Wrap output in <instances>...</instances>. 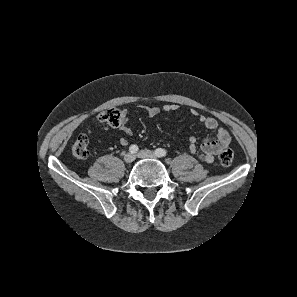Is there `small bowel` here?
<instances>
[{
    "label": "small bowel",
    "mask_w": 297,
    "mask_h": 297,
    "mask_svg": "<svg viewBox=\"0 0 297 297\" xmlns=\"http://www.w3.org/2000/svg\"><path fill=\"white\" fill-rule=\"evenodd\" d=\"M176 109L177 106L175 104H167L163 107L165 112H173ZM160 112L161 109L159 107H150L147 109L149 117H155ZM123 113L125 115V111H123ZM190 113L203 123L207 129L215 131V134L202 143L200 151H198L196 147L195 139L191 137L187 149L191 154L198 156L203 162L212 163L215 156L230 143V135L226 130L219 128L218 121L214 117L201 114L195 109L191 110ZM120 130L127 136H131L133 133L132 127L126 122L120 126ZM119 143L122 146H126L128 144V139L122 137L120 138Z\"/></svg>",
    "instance_id": "obj_1"
}]
</instances>
